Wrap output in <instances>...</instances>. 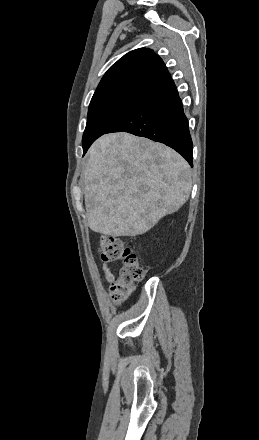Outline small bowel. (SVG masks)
<instances>
[{"label": "small bowel", "instance_id": "small-bowel-1", "mask_svg": "<svg viewBox=\"0 0 259 440\" xmlns=\"http://www.w3.org/2000/svg\"><path fill=\"white\" fill-rule=\"evenodd\" d=\"M102 273L108 282H113L114 275L112 274L111 266L109 264L107 263L103 264Z\"/></svg>", "mask_w": 259, "mask_h": 440}]
</instances>
